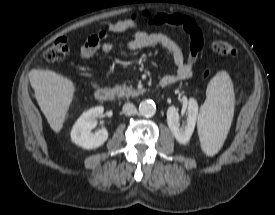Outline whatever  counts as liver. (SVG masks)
<instances>
[{"label":"liver","instance_id":"obj_1","mask_svg":"<svg viewBox=\"0 0 275 215\" xmlns=\"http://www.w3.org/2000/svg\"><path fill=\"white\" fill-rule=\"evenodd\" d=\"M29 80L51 129L59 133L74 98V83L52 70L32 69Z\"/></svg>","mask_w":275,"mask_h":215}]
</instances>
